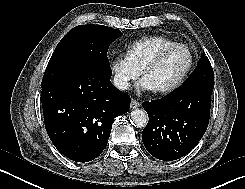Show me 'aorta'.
I'll return each mask as SVG.
<instances>
[{"instance_id":"1","label":"aorta","mask_w":245,"mask_h":189,"mask_svg":"<svg viewBox=\"0 0 245 189\" xmlns=\"http://www.w3.org/2000/svg\"><path fill=\"white\" fill-rule=\"evenodd\" d=\"M132 124L135 127L143 128L148 122V114L143 109H135L130 114Z\"/></svg>"}]
</instances>
